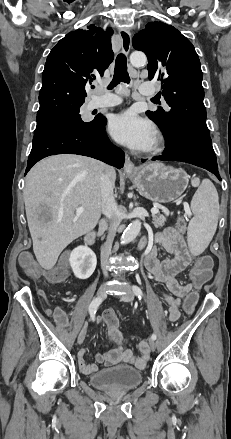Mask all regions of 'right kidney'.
<instances>
[{
  "label": "right kidney",
  "mask_w": 231,
  "mask_h": 439,
  "mask_svg": "<svg viewBox=\"0 0 231 439\" xmlns=\"http://www.w3.org/2000/svg\"><path fill=\"white\" fill-rule=\"evenodd\" d=\"M70 266L79 279L89 278L97 264L95 253L87 246H78L70 254Z\"/></svg>",
  "instance_id": "obj_1"
}]
</instances>
